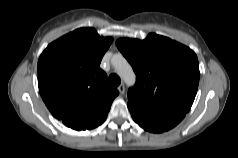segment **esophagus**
Instances as JSON below:
<instances>
[{
    "mask_svg": "<svg viewBox=\"0 0 238 158\" xmlns=\"http://www.w3.org/2000/svg\"><path fill=\"white\" fill-rule=\"evenodd\" d=\"M118 91H119L120 94H124L125 93V86H124V84H120L118 86Z\"/></svg>",
    "mask_w": 238,
    "mask_h": 158,
    "instance_id": "1",
    "label": "esophagus"
}]
</instances>
